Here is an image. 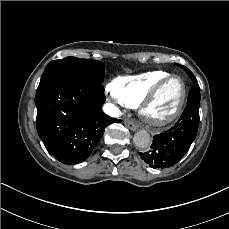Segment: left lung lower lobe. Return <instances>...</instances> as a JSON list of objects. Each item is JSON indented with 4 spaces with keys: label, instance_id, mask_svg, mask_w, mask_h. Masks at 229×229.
Here are the masks:
<instances>
[{
    "label": "left lung lower lobe",
    "instance_id": "0a47b994",
    "mask_svg": "<svg viewBox=\"0 0 229 229\" xmlns=\"http://www.w3.org/2000/svg\"><path fill=\"white\" fill-rule=\"evenodd\" d=\"M193 85L188 95L186 107L179 119L166 133L155 135L151 150L139 153L152 168H167L175 165L189 150L199 126L200 89L193 73L184 69Z\"/></svg>",
    "mask_w": 229,
    "mask_h": 229
}]
</instances>
